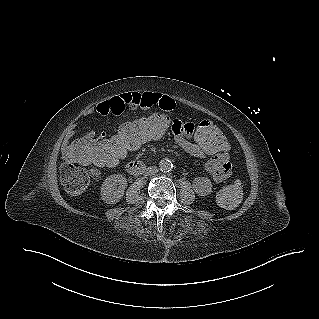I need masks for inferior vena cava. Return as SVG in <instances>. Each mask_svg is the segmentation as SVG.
Listing matches in <instances>:
<instances>
[{"label":"inferior vena cava","instance_id":"obj_1","mask_svg":"<svg viewBox=\"0 0 319 319\" xmlns=\"http://www.w3.org/2000/svg\"><path fill=\"white\" fill-rule=\"evenodd\" d=\"M157 172H158L157 167L152 166V167H149V168L147 169L146 174H147V175H155Z\"/></svg>","mask_w":319,"mask_h":319}]
</instances>
